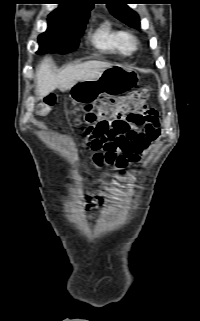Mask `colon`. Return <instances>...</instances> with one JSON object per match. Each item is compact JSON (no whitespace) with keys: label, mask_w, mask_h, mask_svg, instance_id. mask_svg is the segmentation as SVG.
I'll return each mask as SVG.
<instances>
[{"label":"colon","mask_w":200,"mask_h":321,"mask_svg":"<svg viewBox=\"0 0 200 321\" xmlns=\"http://www.w3.org/2000/svg\"><path fill=\"white\" fill-rule=\"evenodd\" d=\"M149 96V90L146 88L131 92L120 97H101L93 104H88L78 111L83 114V120L86 123H115L122 118L133 114H142L149 111L146 101ZM56 99L54 96H47L38 106L39 115H46L54 106Z\"/></svg>","instance_id":"5ec220e1"}]
</instances>
